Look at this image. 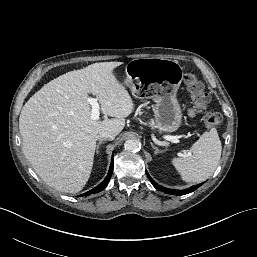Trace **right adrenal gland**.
Listing matches in <instances>:
<instances>
[{"label": "right adrenal gland", "instance_id": "right-adrenal-gland-1", "mask_svg": "<svg viewBox=\"0 0 257 257\" xmlns=\"http://www.w3.org/2000/svg\"><path fill=\"white\" fill-rule=\"evenodd\" d=\"M103 143V140H100L99 143L97 144V148H96V153H99V147L100 145Z\"/></svg>", "mask_w": 257, "mask_h": 257}]
</instances>
